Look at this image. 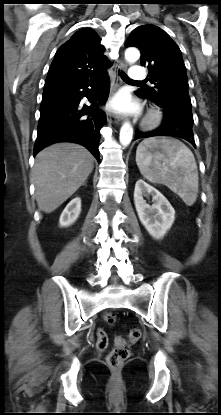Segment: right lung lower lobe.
Segmentation results:
<instances>
[{
	"instance_id": "1",
	"label": "right lung lower lobe",
	"mask_w": 221,
	"mask_h": 415,
	"mask_svg": "<svg viewBox=\"0 0 221 415\" xmlns=\"http://www.w3.org/2000/svg\"><path fill=\"white\" fill-rule=\"evenodd\" d=\"M109 76L77 83L45 87L40 106L34 156L57 142H74L85 146L99 160L100 129L106 114L98 109L109 95ZM87 97L90 106L82 104Z\"/></svg>"
}]
</instances>
